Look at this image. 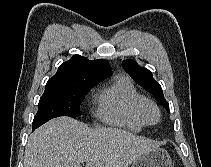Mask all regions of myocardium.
<instances>
[{
  "label": "myocardium",
  "mask_w": 211,
  "mask_h": 167,
  "mask_svg": "<svg viewBox=\"0 0 211 167\" xmlns=\"http://www.w3.org/2000/svg\"><path fill=\"white\" fill-rule=\"evenodd\" d=\"M151 110H153L156 113V119L155 120H152L149 117V112ZM139 111H140L141 118L143 119V121L146 124L155 125L161 120V110H160L159 106L153 100L145 98L141 102Z\"/></svg>",
  "instance_id": "f54148a6"
}]
</instances>
